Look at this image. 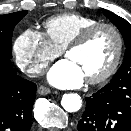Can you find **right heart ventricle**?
I'll use <instances>...</instances> for the list:
<instances>
[{
    "mask_svg": "<svg viewBox=\"0 0 131 131\" xmlns=\"http://www.w3.org/2000/svg\"><path fill=\"white\" fill-rule=\"evenodd\" d=\"M99 23L95 18L77 13H65L44 22L45 36L59 51L77 37L84 29Z\"/></svg>",
    "mask_w": 131,
    "mask_h": 131,
    "instance_id": "e07e8e85",
    "label": "right heart ventricle"
}]
</instances>
